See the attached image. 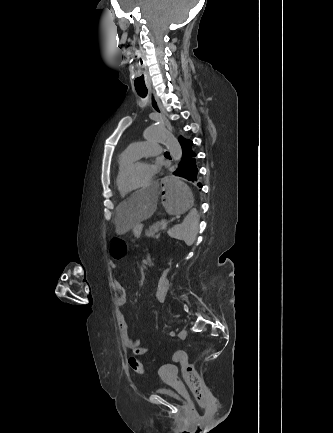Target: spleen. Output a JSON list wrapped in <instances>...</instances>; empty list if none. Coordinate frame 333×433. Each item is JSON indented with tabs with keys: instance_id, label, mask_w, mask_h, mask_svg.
Returning a JSON list of instances; mask_svg holds the SVG:
<instances>
[{
	"instance_id": "obj_1",
	"label": "spleen",
	"mask_w": 333,
	"mask_h": 433,
	"mask_svg": "<svg viewBox=\"0 0 333 433\" xmlns=\"http://www.w3.org/2000/svg\"><path fill=\"white\" fill-rule=\"evenodd\" d=\"M198 224V213L192 209L189 210L188 215H186L183 222L181 224L174 225L168 231V234L170 237L177 240H183L188 246H191L196 241Z\"/></svg>"
}]
</instances>
